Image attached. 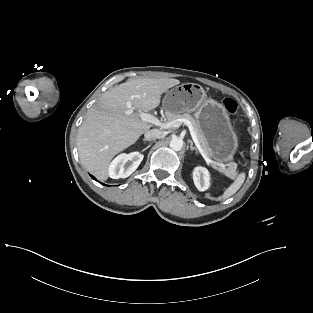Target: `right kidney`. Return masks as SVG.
<instances>
[{
  "instance_id": "ca27d5eb",
  "label": "right kidney",
  "mask_w": 313,
  "mask_h": 313,
  "mask_svg": "<svg viewBox=\"0 0 313 313\" xmlns=\"http://www.w3.org/2000/svg\"><path fill=\"white\" fill-rule=\"evenodd\" d=\"M143 157L140 152L118 155L109 165V176L113 179L127 178L137 169Z\"/></svg>"
}]
</instances>
